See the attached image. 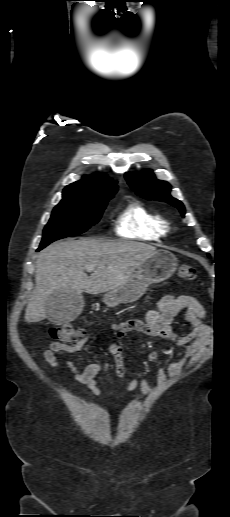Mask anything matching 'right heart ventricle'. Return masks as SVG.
Masks as SVG:
<instances>
[{
  "mask_svg": "<svg viewBox=\"0 0 230 517\" xmlns=\"http://www.w3.org/2000/svg\"><path fill=\"white\" fill-rule=\"evenodd\" d=\"M115 231L123 238L160 241L168 232V224L159 212L134 201L118 214Z\"/></svg>",
  "mask_w": 230,
  "mask_h": 517,
  "instance_id": "right-heart-ventricle-1",
  "label": "right heart ventricle"
}]
</instances>
